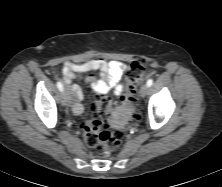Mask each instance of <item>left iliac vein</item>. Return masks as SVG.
<instances>
[{
    "mask_svg": "<svg viewBox=\"0 0 222 187\" xmlns=\"http://www.w3.org/2000/svg\"><path fill=\"white\" fill-rule=\"evenodd\" d=\"M148 91H149V86L146 85V84H144V85L141 87V89H140V96H141V97L146 96L147 93H148Z\"/></svg>",
    "mask_w": 222,
    "mask_h": 187,
    "instance_id": "obj_1",
    "label": "left iliac vein"
}]
</instances>
